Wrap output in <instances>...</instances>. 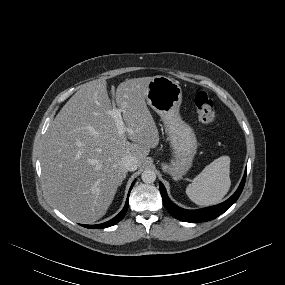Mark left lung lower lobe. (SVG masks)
I'll list each match as a JSON object with an SVG mask.
<instances>
[{
  "mask_svg": "<svg viewBox=\"0 0 285 285\" xmlns=\"http://www.w3.org/2000/svg\"><path fill=\"white\" fill-rule=\"evenodd\" d=\"M246 173L247 169L245 170L244 176L242 178V181L239 185V188L237 191L225 202L207 207V208H202L198 210H186L182 209L178 206H176L167 196L166 190L161 182H159L160 186V192L162 196L163 203L166 207V209L169 211V213L177 218L180 221H185V222H204V221H209L213 220L216 217H218L220 214L224 213L228 208H230L236 200L239 198L245 184L246 180Z\"/></svg>",
  "mask_w": 285,
  "mask_h": 285,
  "instance_id": "left-lung-lower-lobe-1",
  "label": "left lung lower lobe"
}]
</instances>
